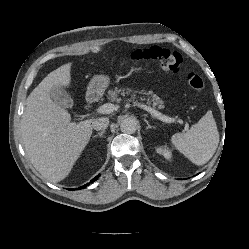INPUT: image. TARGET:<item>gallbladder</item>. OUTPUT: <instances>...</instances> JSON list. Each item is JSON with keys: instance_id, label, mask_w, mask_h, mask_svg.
Returning <instances> with one entry per match:
<instances>
[{"instance_id": "gallbladder-1", "label": "gallbladder", "mask_w": 249, "mask_h": 249, "mask_svg": "<svg viewBox=\"0 0 249 249\" xmlns=\"http://www.w3.org/2000/svg\"><path fill=\"white\" fill-rule=\"evenodd\" d=\"M50 97L54 103L63 108H69L73 105V101L69 94L60 86L53 87V89L50 91Z\"/></svg>"}]
</instances>
